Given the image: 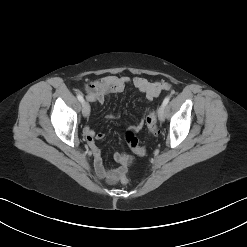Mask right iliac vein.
<instances>
[{
  "label": "right iliac vein",
  "instance_id": "1",
  "mask_svg": "<svg viewBox=\"0 0 247 247\" xmlns=\"http://www.w3.org/2000/svg\"><path fill=\"white\" fill-rule=\"evenodd\" d=\"M82 113L84 117H89L90 115V105L88 102H83L82 104Z\"/></svg>",
  "mask_w": 247,
  "mask_h": 247
}]
</instances>
